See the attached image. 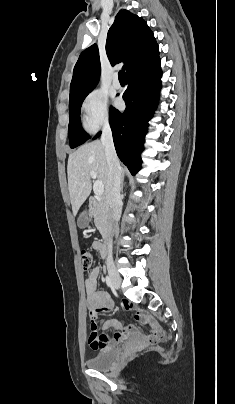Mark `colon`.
I'll return each mask as SVG.
<instances>
[{
    "mask_svg": "<svg viewBox=\"0 0 235 404\" xmlns=\"http://www.w3.org/2000/svg\"><path fill=\"white\" fill-rule=\"evenodd\" d=\"M80 259H81V265L82 269L84 271H87L90 269L92 266V255L88 249H81L80 250ZM89 329L92 334H96L97 331V323H96V317L94 315H90L89 319ZM148 339L153 342V343H158L164 340L165 334L164 332L156 327H151V329L147 333Z\"/></svg>",
    "mask_w": 235,
    "mask_h": 404,
    "instance_id": "5ec220e1",
    "label": "colon"
}]
</instances>
